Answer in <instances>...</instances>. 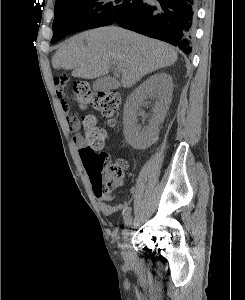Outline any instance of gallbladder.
I'll return each instance as SVG.
<instances>
[{
    "mask_svg": "<svg viewBox=\"0 0 245 300\" xmlns=\"http://www.w3.org/2000/svg\"><path fill=\"white\" fill-rule=\"evenodd\" d=\"M118 87V81L110 76H102L97 78L93 83L95 91H107Z\"/></svg>",
    "mask_w": 245,
    "mask_h": 300,
    "instance_id": "1",
    "label": "gallbladder"
}]
</instances>
